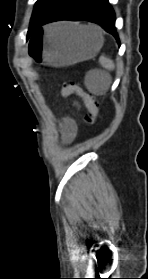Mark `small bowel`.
I'll list each match as a JSON object with an SVG mask.
<instances>
[{
    "label": "small bowel",
    "instance_id": "small-bowel-1",
    "mask_svg": "<svg viewBox=\"0 0 148 279\" xmlns=\"http://www.w3.org/2000/svg\"><path fill=\"white\" fill-rule=\"evenodd\" d=\"M77 132V125L74 120L66 118L62 128V136L65 142L72 141Z\"/></svg>",
    "mask_w": 148,
    "mask_h": 279
}]
</instances>
